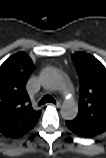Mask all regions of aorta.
<instances>
[{
	"label": "aorta",
	"mask_w": 106,
	"mask_h": 158,
	"mask_svg": "<svg viewBox=\"0 0 106 158\" xmlns=\"http://www.w3.org/2000/svg\"><path fill=\"white\" fill-rule=\"evenodd\" d=\"M42 80L44 84L51 89H61L64 85L62 76L55 70L45 71ZM60 113L63 119H74L78 113L76 102L71 99L66 100L61 106Z\"/></svg>",
	"instance_id": "1"
}]
</instances>
